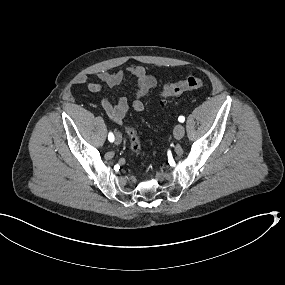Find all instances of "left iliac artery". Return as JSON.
I'll return each instance as SVG.
<instances>
[{
	"mask_svg": "<svg viewBox=\"0 0 285 285\" xmlns=\"http://www.w3.org/2000/svg\"><path fill=\"white\" fill-rule=\"evenodd\" d=\"M178 121L183 123L185 121V117L184 116H179Z\"/></svg>",
	"mask_w": 285,
	"mask_h": 285,
	"instance_id": "left-iliac-artery-1",
	"label": "left iliac artery"
}]
</instances>
